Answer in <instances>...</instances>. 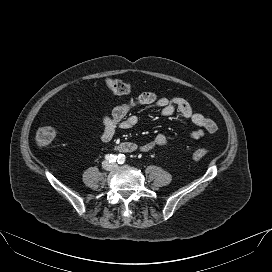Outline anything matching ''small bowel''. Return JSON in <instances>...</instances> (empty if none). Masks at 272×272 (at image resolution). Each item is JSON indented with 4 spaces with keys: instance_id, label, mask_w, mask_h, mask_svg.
Returning <instances> with one entry per match:
<instances>
[{
    "instance_id": "1",
    "label": "small bowel",
    "mask_w": 272,
    "mask_h": 272,
    "mask_svg": "<svg viewBox=\"0 0 272 272\" xmlns=\"http://www.w3.org/2000/svg\"><path fill=\"white\" fill-rule=\"evenodd\" d=\"M155 105L161 110L163 116H172L177 113L193 123L197 129L191 132L192 139H200L207 134H213L217 130L215 122L203 114L193 110L191 105L181 97H164L153 92H143L130 101L116 106L112 112L103 119L101 139L110 142L117 129H131L138 123V117L129 114L136 107ZM168 139L163 133H158L155 138L139 147L143 153L151 152L167 146Z\"/></svg>"
}]
</instances>
